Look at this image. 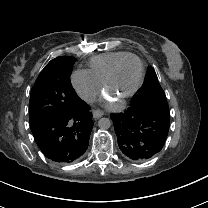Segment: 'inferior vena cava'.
Segmentation results:
<instances>
[{"label":"inferior vena cava","mask_w":208,"mask_h":208,"mask_svg":"<svg viewBox=\"0 0 208 208\" xmlns=\"http://www.w3.org/2000/svg\"><path fill=\"white\" fill-rule=\"evenodd\" d=\"M94 97V94L91 92L85 93L81 98L85 101H90Z\"/></svg>","instance_id":"inferior-vena-cava-1"}]
</instances>
